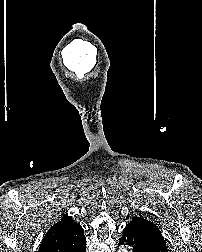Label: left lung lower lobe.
I'll return each mask as SVG.
<instances>
[{"instance_id":"1","label":"left lung lower lobe","mask_w":202,"mask_h":252,"mask_svg":"<svg viewBox=\"0 0 202 252\" xmlns=\"http://www.w3.org/2000/svg\"><path fill=\"white\" fill-rule=\"evenodd\" d=\"M118 245H129L133 252H168L161 232L150 224L138 221L126 225Z\"/></svg>"}]
</instances>
